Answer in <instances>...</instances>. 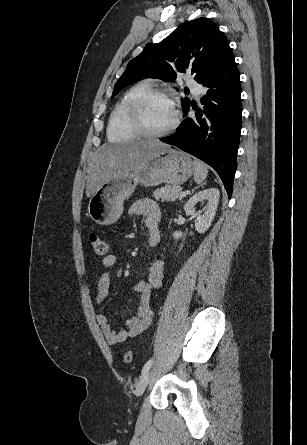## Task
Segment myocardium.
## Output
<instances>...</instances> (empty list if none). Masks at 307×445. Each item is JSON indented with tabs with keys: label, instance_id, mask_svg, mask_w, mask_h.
Returning <instances> with one entry per match:
<instances>
[{
	"label": "myocardium",
	"instance_id": "f54148a6",
	"mask_svg": "<svg viewBox=\"0 0 307 445\" xmlns=\"http://www.w3.org/2000/svg\"><path fill=\"white\" fill-rule=\"evenodd\" d=\"M154 99H163L168 101L174 108V118L171 124L163 131L161 132H153L151 131L148 126L146 125L145 118H144V110L147 104L154 100ZM132 117L133 122L138 130V133L141 134L143 137L141 139H159L166 137L173 133L180 120V113L175 107L174 102L171 100L168 94L160 91V90H149L146 92L134 105L132 110Z\"/></svg>",
	"mask_w": 307,
	"mask_h": 445
}]
</instances>
